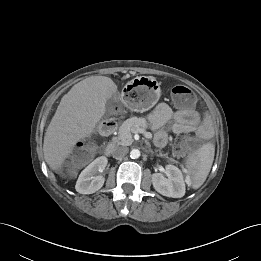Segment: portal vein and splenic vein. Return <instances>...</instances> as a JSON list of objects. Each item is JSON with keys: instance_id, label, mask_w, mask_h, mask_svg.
<instances>
[{"instance_id": "portal-vein-and-splenic-vein-1", "label": "portal vein and splenic vein", "mask_w": 261, "mask_h": 261, "mask_svg": "<svg viewBox=\"0 0 261 261\" xmlns=\"http://www.w3.org/2000/svg\"><path fill=\"white\" fill-rule=\"evenodd\" d=\"M138 132H139V133H144L147 138H151V137H152V134H151L150 132H145V131L142 130V129H139V130L137 131V133H138Z\"/></svg>"}]
</instances>
